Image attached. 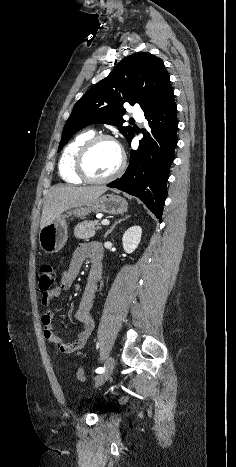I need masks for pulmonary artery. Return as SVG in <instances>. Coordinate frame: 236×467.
Wrapping results in <instances>:
<instances>
[{
	"instance_id": "pulmonary-artery-1",
	"label": "pulmonary artery",
	"mask_w": 236,
	"mask_h": 467,
	"mask_svg": "<svg viewBox=\"0 0 236 467\" xmlns=\"http://www.w3.org/2000/svg\"><path fill=\"white\" fill-rule=\"evenodd\" d=\"M133 117L139 121H142L144 119V113L140 106H135L133 109Z\"/></svg>"
}]
</instances>
